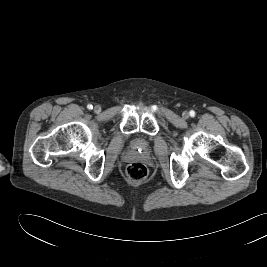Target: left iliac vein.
Wrapping results in <instances>:
<instances>
[{
    "mask_svg": "<svg viewBox=\"0 0 267 267\" xmlns=\"http://www.w3.org/2000/svg\"><path fill=\"white\" fill-rule=\"evenodd\" d=\"M182 116L183 118L187 119L189 117V113L187 111H184Z\"/></svg>",
    "mask_w": 267,
    "mask_h": 267,
    "instance_id": "4c4485c4",
    "label": "left iliac vein"
}]
</instances>
